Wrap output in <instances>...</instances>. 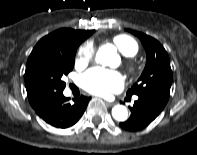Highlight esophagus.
<instances>
[{
	"label": "esophagus",
	"instance_id": "1",
	"mask_svg": "<svg viewBox=\"0 0 197 155\" xmlns=\"http://www.w3.org/2000/svg\"><path fill=\"white\" fill-rule=\"evenodd\" d=\"M108 106H113L115 103L110 101H105Z\"/></svg>",
	"mask_w": 197,
	"mask_h": 155
}]
</instances>
